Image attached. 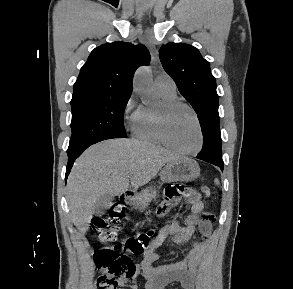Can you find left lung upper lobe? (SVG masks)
<instances>
[{"instance_id": "5c2ea615", "label": "left lung upper lobe", "mask_w": 293, "mask_h": 289, "mask_svg": "<svg viewBox=\"0 0 293 289\" xmlns=\"http://www.w3.org/2000/svg\"><path fill=\"white\" fill-rule=\"evenodd\" d=\"M159 56L164 70L197 113L202 133L220 128L216 80L211 74L209 62L198 49L171 42L161 46ZM211 158L214 161L222 160V151Z\"/></svg>"}]
</instances>
